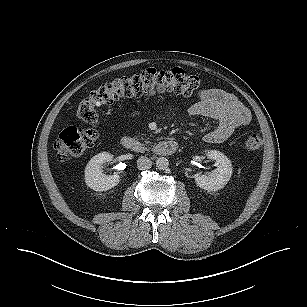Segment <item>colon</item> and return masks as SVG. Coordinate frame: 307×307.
<instances>
[{"mask_svg":"<svg viewBox=\"0 0 307 307\" xmlns=\"http://www.w3.org/2000/svg\"><path fill=\"white\" fill-rule=\"evenodd\" d=\"M199 79L183 69H146L119 77L94 89L77 108V117L87 128L68 127L59 135L55 149L60 160L82 155L98 139L99 116L97 109L123 97H151L163 93L191 96L199 88ZM247 149L257 150L262 138L249 134L244 141Z\"/></svg>","mask_w":307,"mask_h":307,"instance_id":"5ec220e1","label":"colon"}]
</instances>
